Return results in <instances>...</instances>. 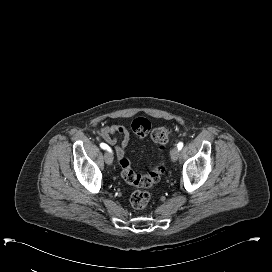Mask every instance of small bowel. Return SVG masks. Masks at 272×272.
<instances>
[{"label":"small bowel","instance_id":"c3829d8e","mask_svg":"<svg viewBox=\"0 0 272 272\" xmlns=\"http://www.w3.org/2000/svg\"><path fill=\"white\" fill-rule=\"evenodd\" d=\"M117 135L120 136V144H118ZM99 136L109 145L115 146L118 159L125 156V150L130 142V132L126 126L122 124H113L105 126L99 131Z\"/></svg>","mask_w":272,"mask_h":272}]
</instances>
